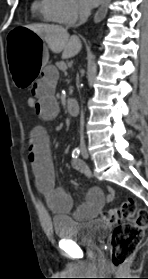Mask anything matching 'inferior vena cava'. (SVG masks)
Listing matches in <instances>:
<instances>
[{
  "instance_id": "obj_1",
  "label": "inferior vena cava",
  "mask_w": 148,
  "mask_h": 279,
  "mask_svg": "<svg viewBox=\"0 0 148 279\" xmlns=\"http://www.w3.org/2000/svg\"><path fill=\"white\" fill-rule=\"evenodd\" d=\"M91 14V11L87 7H81L79 10V23L76 26H79L87 21ZM84 112L82 111L81 113V118H80V143L81 147L85 146L84 142Z\"/></svg>"
}]
</instances>
